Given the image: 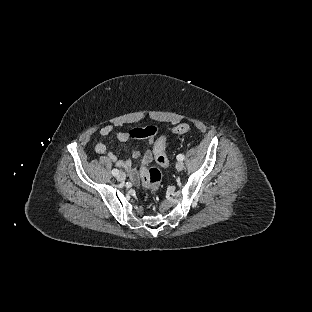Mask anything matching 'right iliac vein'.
Listing matches in <instances>:
<instances>
[{
	"label": "right iliac vein",
	"instance_id": "obj_1",
	"mask_svg": "<svg viewBox=\"0 0 312 312\" xmlns=\"http://www.w3.org/2000/svg\"><path fill=\"white\" fill-rule=\"evenodd\" d=\"M126 179V174L124 172H120L118 175H117V180L120 181V182H123L125 181Z\"/></svg>",
	"mask_w": 312,
	"mask_h": 312
}]
</instances>
